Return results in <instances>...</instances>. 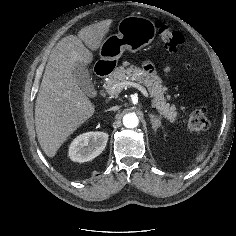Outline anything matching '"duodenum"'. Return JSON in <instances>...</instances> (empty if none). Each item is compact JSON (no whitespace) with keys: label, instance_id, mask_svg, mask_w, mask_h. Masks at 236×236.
Returning a JSON list of instances; mask_svg holds the SVG:
<instances>
[{"label":"duodenum","instance_id":"obj_1","mask_svg":"<svg viewBox=\"0 0 236 236\" xmlns=\"http://www.w3.org/2000/svg\"><path fill=\"white\" fill-rule=\"evenodd\" d=\"M111 71H112V67L110 65H107V64L98 66V68H97V74L100 77L107 76L108 74H110Z\"/></svg>","mask_w":236,"mask_h":236}]
</instances>
